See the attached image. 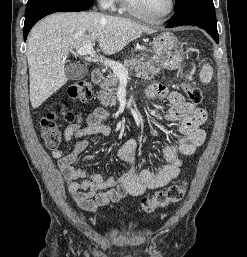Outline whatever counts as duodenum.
<instances>
[{"label": "duodenum", "instance_id": "obj_1", "mask_svg": "<svg viewBox=\"0 0 247 257\" xmlns=\"http://www.w3.org/2000/svg\"><path fill=\"white\" fill-rule=\"evenodd\" d=\"M103 78V74L99 69H94L91 72V80L93 83H99Z\"/></svg>", "mask_w": 247, "mask_h": 257}]
</instances>
